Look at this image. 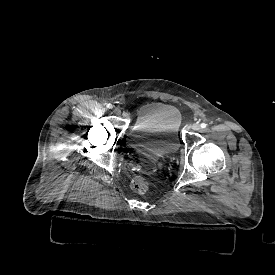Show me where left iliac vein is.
<instances>
[{
	"label": "left iliac vein",
	"instance_id": "1",
	"mask_svg": "<svg viewBox=\"0 0 275 275\" xmlns=\"http://www.w3.org/2000/svg\"><path fill=\"white\" fill-rule=\"evenodd\" d=\"M191 129L193 131H198V130H200V126L197 123H194V124H192Z\"/></svg>",
	"mask_w": 275,
	"mask_h": 275
}]
</instances>
